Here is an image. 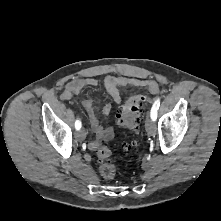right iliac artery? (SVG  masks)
<instances>
[{
  "mask_svg": "<svg viewBox=\"0 0 221 221\" xmlns=\"http://www.w3.org/2000/svg\"><path fill=\"white\" fill-rule=\"evenodd\" d=\"M75 128L79 130L81 128V121L78 119L75 121Z\"/></svg>",
  "mask_w": 221,
  "mask_h": 221,
  "instance_id": "obj_1",
  "label": "right iliac artery"
}]
</instances>
